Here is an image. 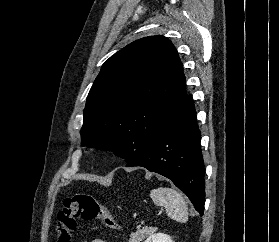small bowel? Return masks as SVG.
I'll use <instances>...</instances> for the list:
<instances>
[{
  "mask_svg": "<svg viewBox=\"0 0 279 242\" xmlns=\"http://www.w3.org/2000/svg\"><path fill=\"white\" fill-rule=\"evenodd\" d=\"M83 242H107V241L100 239V238H96V239H92V240H85Z\"/></svg>",
  "mask_w": 279,
  "mask_h": 242,
  "instance_id": "small-bowel-1",
  "label": "small bowel"
}]
</instances>
